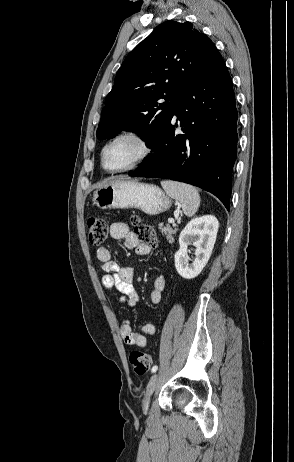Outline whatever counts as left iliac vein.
<instances>
[{"label":"left iliac vein","mask_w":294,"mask_h":462,"mask_svg":"<svg viewBox=\"0 0 294 462\" xmlns=\"http://www.w3.org/2000/svg\"><path fill=\"white\" fill-rule=\"evenodd\" d=\"M157 381H158V374H154L150 378V380L148 382L146 392H145V397H144V400H143V408L144 409H148L149 400H150V397H151V395L153 394V392H154V390L156 388Z\"/></svg>","instance_id":"4c4485c4"}]
</instances>
